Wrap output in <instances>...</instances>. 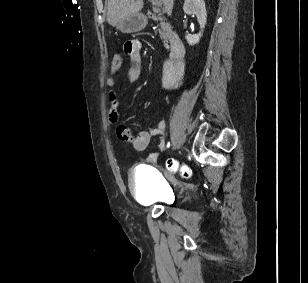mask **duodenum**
<instances>
[{"instance_id":"1","label":"duodenum","mask_w":308,"mask_h":283,"mask_svg":"<svg viewBox=\"0 0 308 283\" xmlns=\"http://www.w3.org/2000/svg\"><path fill=\"white\" fill-rule=\"evenodd\" d=\"M148 17L150 19H156L158 16L153 12H148ZM170 48H171V62L174 68L181 67V59L185 53V45L177 33H173L170 37Z\"/></svg>"}]
</instances>
